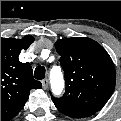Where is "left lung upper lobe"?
<instances>
[{"label": "left lung upper lobe", "mask_w": 121, "mask_h": 121, "mask_svg": "<svg viewBox=\"0 0 121 121\" xmlns=\"http://www.w3.org/2000/svg\"><path fill=\"white\" fill-rule=\"evenodd\" d=\"M65 75V93L52 100L57 109L72 118L89 117L109 100L115 88L111 57L96 41L68 38L55 44Z\"/></svg>", "instance_id": "5c2ea615"}]
</instances>
